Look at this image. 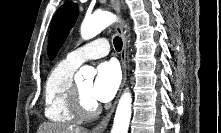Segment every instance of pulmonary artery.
Wrapping results in <instances>:
<instances>
[{
	"label": "pulmonary artery",
	"mask_w": 221,
	"mask_h": 133,
	"mask_svg": "<svg viewBox=\"0 0 221 133\" xmlns=\"http://www.w3.org/2000/svg\"><path fill=\"white\" fill-rule=\"evenodd\" d=\"M109 50L108 42L99 39L70 52L67 55L66 60L79 66L87 60L106 56L109 53Z\"/></svg>",
	"instance_id": "obj_1"
}]
</instances>
